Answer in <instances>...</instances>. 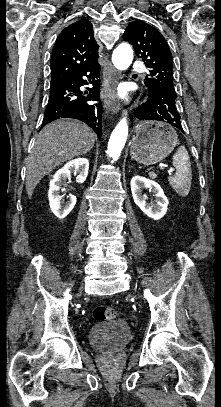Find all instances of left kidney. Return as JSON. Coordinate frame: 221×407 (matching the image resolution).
Returning a JSON list of instances; mask_svg holds the SVG:
<instances>
[{
  "instance_id": "1",
  "label": "left kidney",
  "mask_w": 221,
  "mask_h": 407,
  "mask_svg": "<svg viewBox=\"0 0 221 407\" xmlns=\"http://www.w3.org/2000/svg\"><path fill=\"white\" fill-rule=\"evenodd\" d=\"M131 192L135 204L150 218L154 220L161 219L167 212L168 199L165 196L162 188L153 180L134 176L130 182ZM146 188L152 191L157 197L156 204H148L142 190Z\"/></svg>"
}]
</instances>
